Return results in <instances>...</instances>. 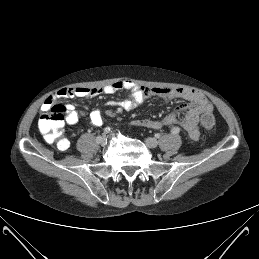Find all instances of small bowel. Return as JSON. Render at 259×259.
I'll return each instance as SVG.
<instances>
[{
  "label": "small bowel",
  "mask_w": 259,
  "mask_h": 259,
  "mask_svg": "<svg viewBox=\"0 0 259 259\" xmlns=\"http://www.w3.org/2000/svg\"><path fill=\"white\" fill-rule=\"evenodd\" d=\"M124 90L129 93V98L121 101L110 100L108 107H118L131 111L142 105L148 98L159 96L165 99L180 98L182 103L174 113H170L159 120L138 119L132 122L133 126H141L150 129H161L163 127L175 126L183 129L192 140H198L200 132L198 129L199 118L202 114L211 113L213 106L210 101L200 92L189 89H174L167 87H147L138 85L132 81L123 80L94 88H62L50 96L42 105V110L48 108L51 103L58 99L66 98H90L101 94L111 95L117 91ZM65 120L68 124H76L81 117L88 116L93 126H100L104 120V113L100 109L87 113L84 110H77L73 105L67 104ZM184 114L182 119L179 118ZM62 150V149H60Z\"/></svg>",
  "instance_id": "1"
}]
</instances>
